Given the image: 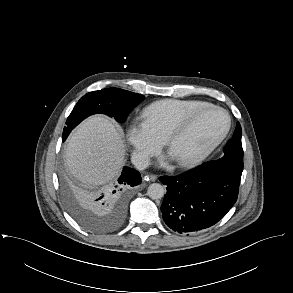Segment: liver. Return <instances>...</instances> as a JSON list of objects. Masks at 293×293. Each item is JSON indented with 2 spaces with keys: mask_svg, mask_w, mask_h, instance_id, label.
<instances>
[{
  "mask_svg": "<svg viewBox=\"0 0 293 293\" xmlns=\"http://www.w3.org/2000/svg\"><path fill=\"white\" fill-rule=\"evenodd\" d=\"M125 154L120 129L108 118L96 115L81 123L70 137L65 162L81 183L97 186L120 173Z\"/></svg>",
  "mask_w": 293,
  "mask_h": 293,
  "instance_id": "obj_1",
  "label": "liver"
}]
</instances>
